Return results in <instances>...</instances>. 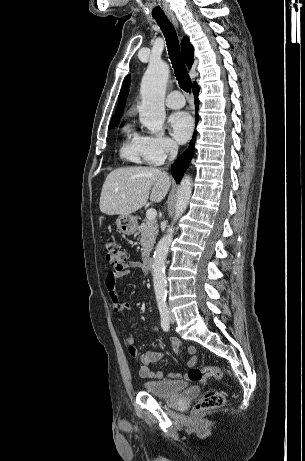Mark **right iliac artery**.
<instances>
[{
    "label": "right iliac artery",
    "mask_w": 305,
    "mask_h": 461,
    "mask_svg": "<svg viewBox=\"0 0 305 461\" xmlns=\"http://www.w3.org/2000/svg\"><path fill=\"white\" fill-rule=\"evenodd\" d=\"M157 304L160 311L161 316V327L164 331H169L170 328V321L168 315V308L166 304V297L159 296L157 297Z\"/></svg>",
    "instance_id": "82829eb1"
}]
</instances>
